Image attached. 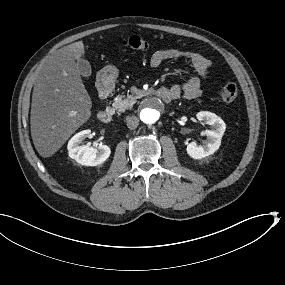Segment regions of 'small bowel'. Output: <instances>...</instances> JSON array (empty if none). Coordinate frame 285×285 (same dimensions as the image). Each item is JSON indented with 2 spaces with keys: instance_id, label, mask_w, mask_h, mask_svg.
Masks as SVG:
<instances>
[{
  "instance_id": "1",
  "label": "small bowel",
  "mask_w": 285,
  "mask_h": 285,
  "mask_svg": "<svg viewBox=\"0 0 285 285\" xmlns=\"http://www.w3.org/2000/svg\"><path fill=\"white\" fill-rule=\"evenodd\" d=\"M167 60H184L197 73L196 76L188 78L181 84L170 88L176 95V98L196 99L204 91V86L209 75L211 62L203 55L194 51H185L180 49H164L155 51L150 57V65L154 68L159 67Z\"/></svg>"
}]
</instances>
